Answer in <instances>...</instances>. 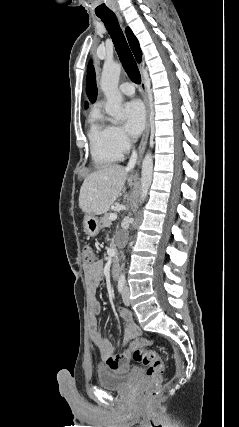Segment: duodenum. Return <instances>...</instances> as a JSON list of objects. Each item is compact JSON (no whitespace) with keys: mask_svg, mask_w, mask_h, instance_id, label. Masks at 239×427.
I'll return each mask as SVG.
<instances>
[{"mask_svg":"<svg viewBox=\"0 0 239 427\" xmlns=\"http://www.w3.org/2000/svg\"><path fill=\"white\" fill-rule=\"evenodd\" d=\"M111 273H112L113 278H117L119 276L120 264H119V260L117 257H114V259L112 261Z\"/></svg>","mask_w":239,"mask_h":427,"instance_id":"duodenum-1","label":"duodenum"}]
</instances>
